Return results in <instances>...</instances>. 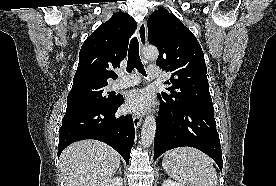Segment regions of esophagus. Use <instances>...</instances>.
<instances>
[{
  "label": "esophagus",
  "mask_w": 276,
  "mask_h": 186,
  "mask_svg": "<svg viewBox=\"0 0 276 186\" xmlns=\"http://www.w3.org/2000/svg\"><path fill=\"white\" fill-rule=\"evenodd\" d=\"M138 40L140 43V46H144L147 41V28L144 21L140 22L138 25ZM145 63H147L146 60H144ZM133 123L135 128H139V126L142 123V118L138 115H133Z\"/></svg>",
  "instance_id": "obj_1"
}]
</instances>
